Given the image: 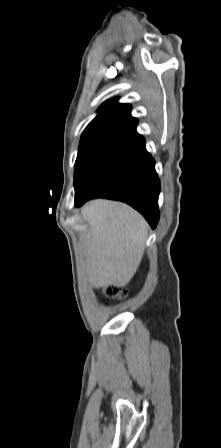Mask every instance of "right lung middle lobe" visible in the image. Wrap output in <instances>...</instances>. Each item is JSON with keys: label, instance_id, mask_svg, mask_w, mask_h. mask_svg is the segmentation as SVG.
Wrapping results in <instances>:
<instances>
[{"label": "right lung middle lobe", "instance_id": "dd1d6c3e", "mask_svg": "<svg viewBox=\"0 0 221 448\" xmlns=\"http://www.w3.org/2000/svg\"><path fill=\"white\" fill-rule=\"evenodd\" d=\"M113 149L110 146H90L79 148L74 170L75 196L91 173L105 156Z\"/></svg>", "mask_w": 221, "mask_h": 448}]
</instances>
